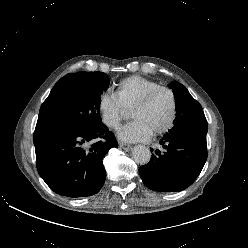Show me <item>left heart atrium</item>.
<instances>
[{
    "instance_id": "left-heart-atrium-1",
    "label": "left heart atrium",
    "mask_w": 248,
    "mask_h": 248,
    "mask_svg": "<svg viewBox=\"0 0 248 248\" xmlns=\"http://www.w3.org/2000/svg\"><path fill=\"white\" fill-rule=\"evenodd\" d=\"M151 134V130L142 121L133 120L120 129L118 136L126 142H140L147 140Z\"/></svg>"
}]
</instances>
